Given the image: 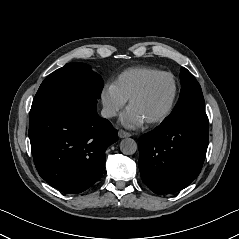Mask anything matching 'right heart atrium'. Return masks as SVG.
<instances>
[{
	"label": "right heart atrium",
	"instance_id": "right-heart-atrium-1",
	"mask_svg": "<svg viewBox=\"0 0 239 239\" xmlns=\"http://www.w3.org/2000/svg\"><path fill=\"white\" fill-rule=\"evenodd\" d=\"M101 102L104 115L113 118L123 108L126 100L119 94L114 84H105L101 92Z\"/></svg>",
	"mask_w": 239,
	"mask_h": 239
}]
</instances>
